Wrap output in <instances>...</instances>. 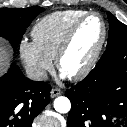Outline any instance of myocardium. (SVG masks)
I'll list each match as a JSON object with an SVG mask.
<instances>
[{
    "label": "myocardium",
    "instance_id": "1",
    "mask_svg": "<svg viewBox=\"0 0 127 127\" xmlns=\"http://www.w3.org/2000/svg\"><path fill=\"white\" fill-rule=\"evenodd\" d=\"M92 16H96L100 19L102 28H103L102 29V36H101L98 46L96 47L95 51L93 52V54L91 55V57L89 58L87 63L77 72H75L71 75H67L68 78L71 80L83 79L92 71V69L96 65V63L99 59V56L104 48V45L106 42V37H107V24H106L104 18L97 12H86L84 15H82L80 18H78L72 24V26L69 28V30L67 31L66 35L64 36V38L60 44L58 51L56 53V56H55L56 67L60 72H63L62 71V62H63V59L66 56L71 44H72V41L77 33V30L84 23L85 20H87L88 18H90Z\"/></svg>",
    "mask_w": 127,
    "mask_h": 127
}]
</instances>
